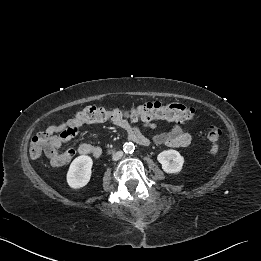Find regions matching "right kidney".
<instances>
[{
    "label": "right kidney",
    "mask_w": 261,
    "mask_h": 261,
    "mask_svg": "<svg viewBox=\"0 0 261 261\" xmlns=\"http://www.w3.org/2000/svg\"><path fill=\"white\" fill-rule=\"evenodd\" d=\"M93 160L91 157L81 155L76 157L68 170L67 183L73 189H80L87 185L91 178Z\"/></svg>",
    "instance_id": "obj_1"
}]
</instances>
